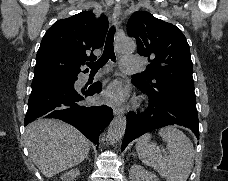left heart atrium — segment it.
Instances as JSON below:
<instances>
[{"mask_svg": "<svg viewBox=\"0 0 228 181\" xmlns=\"http://www.w3.org/2000/svg\"><path fill=\"white\" fill-rule=\"evenodd\" d=\"M124 94V88L122 87V85L117 82L114 81L112 82L105 90L104 92V96L110 100H115V101H119L121 100V98L123 97Z\"/></svg>", "mask_w": 228, "mask_h": 181, "instance_id": "39dd6f15", "label": "left heart atrium"}]
</instances>
